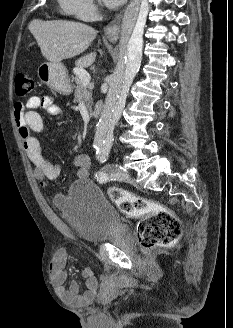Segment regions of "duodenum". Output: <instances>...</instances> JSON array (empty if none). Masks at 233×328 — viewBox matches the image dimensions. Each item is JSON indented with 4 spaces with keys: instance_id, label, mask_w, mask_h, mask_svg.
Here are the masks:
<instances>
[{
    "instance_id": "obj_1",
    "label": "duodenum",
    "mask_w": 233,
    "mask_h": 328,
    "mask_svg": "<svg viewBox=\"0 0 233 328\" xmlns=\"http://www.w3.org/2000/svg\"><path fill=\"white\" fill-rule=\"evenodd\" d=\"M102 107H103L102 102H97L96 105H95V108H94V110H93L92 115H93L94 117H97V116L100 114V112H101V110H102Z\"/></svg>"
}]
</instances>
